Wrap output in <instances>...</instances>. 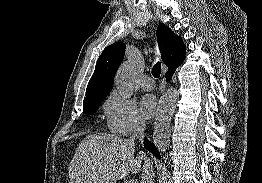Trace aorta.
<instances>
[{"label": "aorta", "instance_id": "1", "mask_svg": "<svg viewBox=\"0 0 262 183\" xmlns=\"http://www.w3.org/2000/svg\"><path fill=\"white\" fill-rule=\"evenodd\" d=\"M134 66L131 63H123L115 76L114 84L123 98H130L133 94ZM179 92L175 88L168 89L160 98L155 117L153 141L160 152H165L170 144L171 118L174 114Z\"/></svg>", "mask_w": 262, "mask_h": 183}]
</instances>
